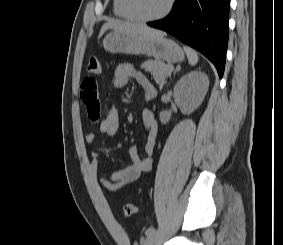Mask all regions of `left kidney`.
Segmentation results:
<instances>
[{
    "label": "left kidney",
    "mask_w": 283,
    "mask_h": 245,
    "mask_svg": "<svg viewBox=\"0 0 283 245\" xmlns=\"http://www.w3.org/2000/svg\"><path fill=\"white\" fill-rule=\"evenodd\" d=\"M208 87V76L200 71H191L179 79L174 87V98L184 114H190L200 106ZM170 117L169 112L162 111L161 123L166 124Z\"/></svg>",
    "instance_id": "left-kidney-1"
}]
</instances>
